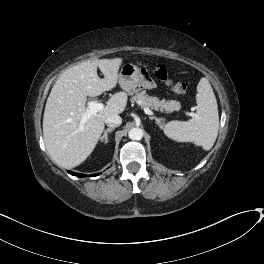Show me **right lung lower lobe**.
<instances>
[{"instance_id": "obj_1", "label": "right lung lower lobe", "mask_w": 264, "mask_h": 264, "mask_svg": "<svg viewBox=\"0 0 264 264\" xmlns=\"http://www.w3.org/2000/svg\"><path fill=\"white\" fill-rule=\"evenodd\" d=\"M68 173L71 174V175H77L79 177H83V176L86 177L87 176V175H83V174H79V173H74V172H71V171H69ZM98 174H92L91 176H97Z\"/></svg>"}]
</instances>
